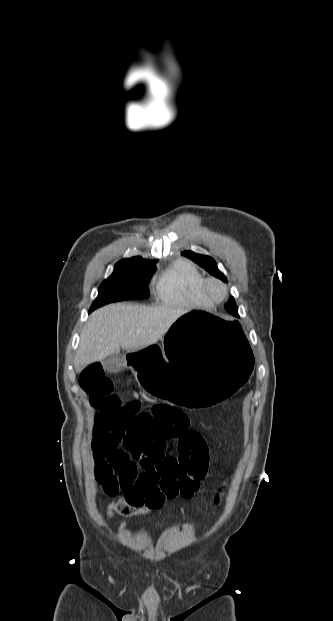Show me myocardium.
<instances>
[{"label":"myocardium","instance_id":"myocardium-1","mask_svg":"<svg viewBox=\"0 0 333 621\" xmlns=\"http://www.w3.org/2000/svg\"><path fill=\"white\" fill-rule=\"evenodd\" d=\"M214 285H217L220 287L221 292L219 294L213 293L212 287ZM202 288H203V292L205 296L208 298V300L212 304H217V303L222 302L228 295L227 284L219 278L211 277V278L205 279L203 282Z\"/></svg>","mask_w":333,"mask_h":621}]
</instances>
